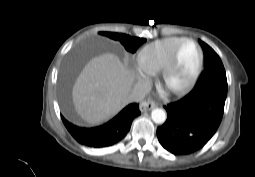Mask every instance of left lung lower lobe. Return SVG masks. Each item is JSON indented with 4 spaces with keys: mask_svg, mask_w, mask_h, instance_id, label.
<instances>
[{
    "mask_svg": "<svg viewBox=\"0 0 255 177\" xmlns=\"http://www.w3.org/2000/svg\"><path fill=\"white\" fill-rule=\"evenodd\" d=\"M226 96L225 87L196 85L185 97L165 106L167 120L157 128L160 144L174 155L200 150L221 123Z\"/></svg>",
    "mask_w": 255,
    "mask_h": 177,
    "instance_id": "obj_1",
    "label": "left lung lower lobe"
}]
</instances>
